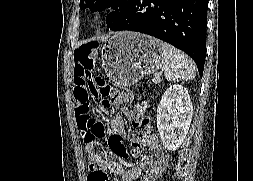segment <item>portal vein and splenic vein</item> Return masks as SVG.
Here are the masks:
<instances>
[{"mask_svg": "<svg viewBox=\"0 0 253 181\" xmlns=\"http://www.w3.org/2000/svg\"><path fill=\"white\" fill-rule=\"evenodd\" d=\"M154 82H155V83L160 82V79H159V78H156V79H154Z\"/></svg>", "mask_w": 253, "mask_h": 181, "instance_id": "portal-vein-and-splenic-vein-1", "label": "portal vein and splenic vein"}]
</instances>
